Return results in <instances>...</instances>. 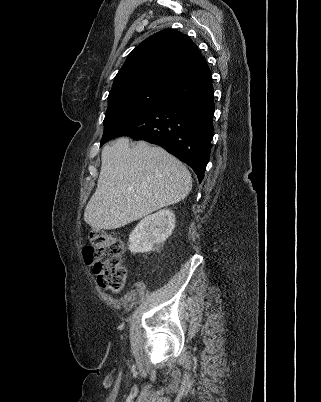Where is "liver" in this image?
I'll use <instances>...</instances> for the list:
<instances>
[{"instance_id": "1", "label": "liver", "mask_w": 321, "mask_h": 402, "mask_svg": "<svg viewBox=\"0 0 321 402\" xmlns=\"http://www.w3.org/2000/svg\"><path fill=\"white\" fill-rule=\"evenodd\" d=\"M192 189L188 169L163 148L122 137L102 150L97 188L84 220L95 229L113 230L185 199Z\"/></svg>"}]
</instances>
